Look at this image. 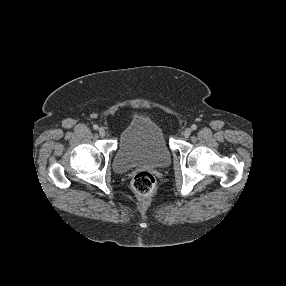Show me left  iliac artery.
Here are the masks:
<instances>
[{
    "label": "left iliac artery",
    "mask_w": 286,
    "mask_h": 286,
    "mask_svg": "<svg viewBox=\"0 0 286 286\" xmlns=\"http://www.w3.org/2000/svg\"><path fill=\"white\" fill-rule=\"evenodd\" d=\"M191 129H192V130H196V129H197V126H196L195 124H193V125L191 126Z\"/></svg>",
    "instance_id": "left-iliac-artery-1"
}]
</instances>
